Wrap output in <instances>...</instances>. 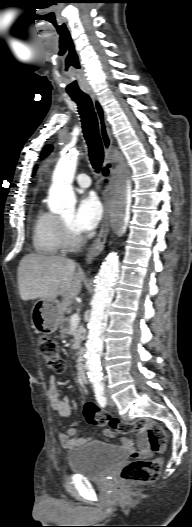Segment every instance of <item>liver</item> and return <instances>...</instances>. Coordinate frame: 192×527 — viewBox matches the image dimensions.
Wrapping results in <instances>:
<instances>
[{
	"mask_svg": "<svg viewBox=\"0 0 192 527\" xmlns=\"http://www.w3.org/2000/svg\"><path fill=\"white\" fill-rule=\"evenodd\" d=\"M75 270L76 263L68 258L36 253L25 255L18 267L21 299H56L61 295L62 307L70 306L82 287L83 273Z\"/></svg>",
	"mask_w": 192,
	"mask_h": 527,
	"instance_id": "1",
	"label": "liver"
}]
</instances>
